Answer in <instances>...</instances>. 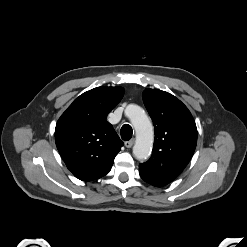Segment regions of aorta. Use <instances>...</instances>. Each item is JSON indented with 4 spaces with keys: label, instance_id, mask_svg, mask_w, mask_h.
Segmentation results:
<instances>
[{
    "label": "aorta",
    "instance_id": "1",
    "mask_svg": "<svg viewBox=\"0 0 247 247\" xmlns=\"http://www.w3.org/2000/svg\"><path fill=\"white\" fill-rule=\"evenodd\" d=\"M126 115L136 132V143L133 146V154L138 160H146L151 154L154 140L152 123L145 111L136 105L127 106Z\"/></svg>",
    "mask_w": 247,
    "mask_h": 247
}]
</instances>
